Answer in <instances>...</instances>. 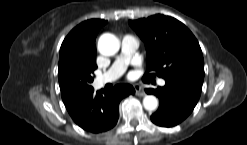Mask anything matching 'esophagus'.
<instances>
[{"instance_id": "34e87169", "label": "esophagus", "mask_w": 247, "mask_h": 145, "mask_svg": "<svg viewBox=\"0 0 247 145\" xmlns=\"http://www.w3.org/2000/svg\"><path fill=\"white\" fill-rule=\"evenodd\" d=\"M135 93L137 96H144L145 92L139 84L134 85Z\"/></svg>"}]
</instances>
